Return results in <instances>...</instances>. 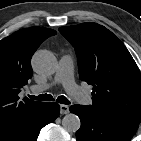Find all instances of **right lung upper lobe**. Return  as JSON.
Masks as SVG:
<instances>
[{
    "instance_id": "1",
    "label": "right lung upper lobe",
    "mask_w": 141,
    "mask_h": 141,
    "mask_svg": "<svg viewBox=\"0 0 141 141\" xmlns=\"http://www.w3.org/2000/svg\"><path fill=\"white\" fill-rule=\"evenodd\" d=\"M55 30L44 27L21 29L0 41V136L13 128L42 102L26 99L18 93L32 77L31 57L38 46Z\"/></svg>"
}]
</instances>
